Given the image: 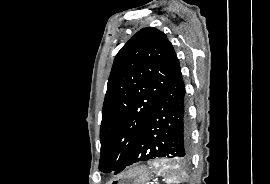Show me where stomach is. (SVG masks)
<instances>
[{"mask_svg":"<svg viewBox=\"0 0 270 184\" xmlns=\"http://www.w3.org/2000/svg\"><path fill=\"white\" fill-rule=\"evenodd\" d=\"M152 172L145 166L134 167L111 179L108 184H148Z\"/></svg>","mask_w":270,"mask_h":184,"instance_id":"1","label":"stomach"}]
</instances>
